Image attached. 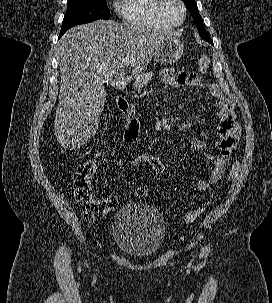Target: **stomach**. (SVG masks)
Masks as SVG:
<instances>
[{
  "instance_id": "obj_1",
  "label": "stomach",
  "mask_w": 272,
  "mask_h": 303,
  "mask_svg": "<svg viewBox=\"0 0 272 303\" xmlns=\"http://www.w3.org/2000/svg\"><path fill=\"white\" fill-rule=\"evenodd\" d=\"M183 50L184 45L179 39L168 37L155 51V61L163 65L175 63L181 58Z\"/></svg>"
}]
</instances>
